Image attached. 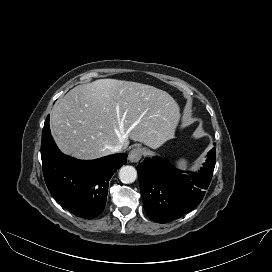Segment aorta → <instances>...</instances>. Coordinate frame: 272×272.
I'll list each match as a JSON object with an SVG mask.
<instances>
[{
    "label": "aorta",
    "instance_id": "aorta-1",
    "mask_svg": "<svg viewBox=\"0 0 272 272\" xmlns=\"http://www.w3.org/2000/svg\"><path fill=\"white\" fill-rule=\"evenodd\" d=\"M137 178V171L133 166H123L119 171V179L121 182L130 184Z\"/></svg>",
    "mask_w": 272,
    "mask_h": 272
}]
</instances>
